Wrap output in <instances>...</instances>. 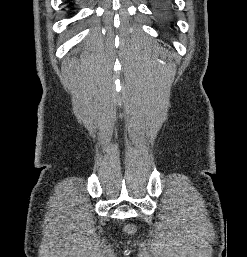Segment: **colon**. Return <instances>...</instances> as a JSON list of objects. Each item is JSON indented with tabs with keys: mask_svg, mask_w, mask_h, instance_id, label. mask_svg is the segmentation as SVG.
Instances as JSON below:
<instances>
[{
	"mask_svg": "<svg viewBox=\"0 0 247 257\" xmlns=\"http://www.w3.org/2000/svg\"><path fill=\"white\" fill-rule=\"evenodd\" d=\"M126 231L129 232V233H132L134 231V227L133 226H128L126 228Z\"/></svg>",
	"mask_w": 247,
	"mask_h": 257,
	"instance_id": "colon-1",
	"label": "colon"
}]
</instances>
